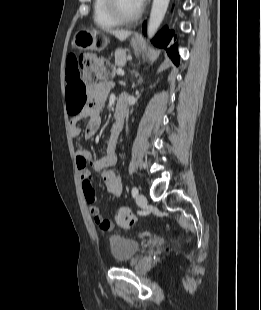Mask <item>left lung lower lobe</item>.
<instances>
[{
  "mask_svg": "<svg viewBox=\"0 0 261 310\" xmlns=\"http://www.w3.org/2000/svg\"><path fill=\"white\" fill-rule=\"evenodd\" d=\"M143 32L146 34V23L143 24ZM174 35V31L168 30L167 27H164L153 39L154 45L160 47V48H165L167 51V54L169 57L172 59V61L178 65L179 63V55L176 50V44L171 46L170 48L167 49V46L169 45L172 37ZM176 38V36H175Z\"/></svg>",
  "mask_w": 261,
  "mask_h": 310,
  "instance_id": "left-lung-lower-lobe-1",
  "label": "left lung lower lobe"
}]
</instances>
